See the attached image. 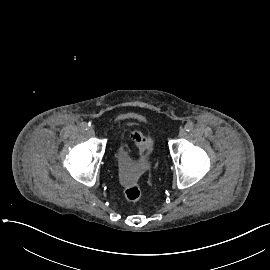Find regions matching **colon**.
I'll use <instances>...</instances> for the list:
<instances>
[{"mask_svg":"<svg viewBox=\"0 0 270 270\" xmlns=\"http://www.w3.org/2000/svg\"><path fill=\"white\" fill-rule=\"evenodd\" d=\"M130 139L134 146L141 151L151 150L154 146L152 137L143 133L142 130L134 128L130 132ZM122 170L120 172L121 184L123 186V195L128 202H138L142 196L141 187L138 183V175L131 168L130 158L123 155L120 158Z\"/></svg>","mask_w":270,"mask_h":270,"instance_id":"1","label":"colon"}]
</instances>
